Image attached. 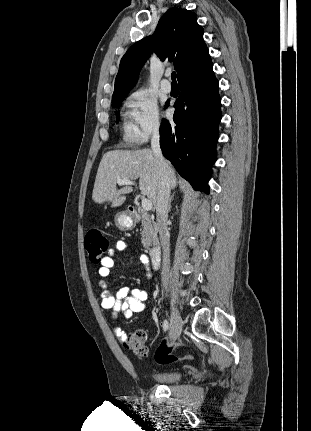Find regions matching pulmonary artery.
<instances>
[{
  "label": "pulmonary artery",
  "instance_id": "pulmonary-artery-1",
  "mask_svg": "<svg viewBox=\"0 0 311 431\" xmlns=\"http://www.w3.org/2000/svg\"><path fill=\"white\" fill-rule=\"evenodd\" d=\"M161 89L164 93H167V94L171 93L172 91V85L170 81L167 79V75L161 81Z\"/></svg>",
  "mask_w": 311,
  "mask_h": 431
}]
</instances>
